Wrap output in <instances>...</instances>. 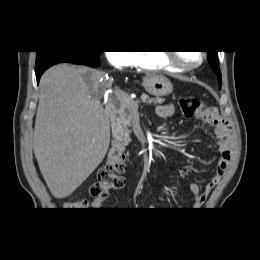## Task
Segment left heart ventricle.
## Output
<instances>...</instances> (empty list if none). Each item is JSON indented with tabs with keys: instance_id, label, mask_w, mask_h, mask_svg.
Returning a JSON list of instances; mask_svg holds the SVG:
<instances>
[{
	"instance_id": "1",
	"label": "left heart ventricle",
	"mask_w": 260,
	"mask_h": 260,
	"mask_svg": "<svg viewBox=\"0 0 260 260\" xmlns=\"http://www.w3.org/2000/svg\"><path fill=\"white\" fill-rule=\"evenodd\" d=\"M178 57L184 63L191 64L197 62L200 59V54L196 51H183L178 53Z\"/></svg>"
}]
</instances>
